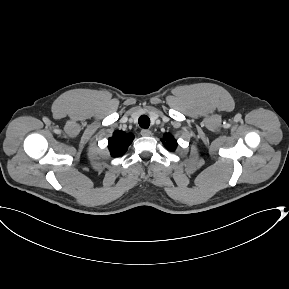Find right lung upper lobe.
<instances>
[{
	"label": "right lung upper lobe",
	"mask_w": 289,
	"mask_h": 289,
	"mask_svg": "<svg viewBox=\"0 0 289 289\" xmlns=\"http://www.w3.org/2000/svg\"><path fill=\"white\" fill-rule=\"evenodd\" d=\"M134 135L122 131H115L113 136L109 138L108 148L112 157L122 156L132 143Z\"/></svg>",
	"instance_id": "right-lung-upper-lobe-1"
}]
</instances>
